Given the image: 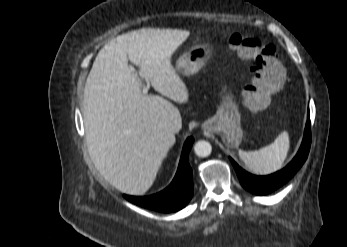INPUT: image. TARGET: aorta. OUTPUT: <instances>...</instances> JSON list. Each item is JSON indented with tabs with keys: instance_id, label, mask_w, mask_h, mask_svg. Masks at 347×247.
Instances as JSON below:
<instances>
[{
	"instance_id": "aorta-1",
	"label": "aorta",
	"mask_w": 347,
	"mask_h": 247,
	"mask_svg": "<svg viewBox=\"0 0 347 247\" xmlns=\"http://www.w3.org/2000/svg\"><path fill=\"white\" fill-rule=\"evenodd\" d=\"M211 151V144L205 140L198 141L194 146V152L198 157H208Z\"/></svg>"
}]
</instances>
